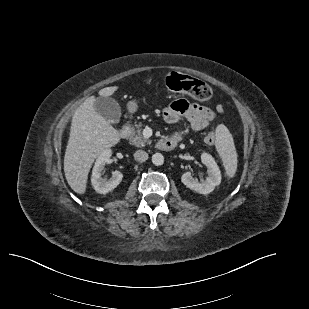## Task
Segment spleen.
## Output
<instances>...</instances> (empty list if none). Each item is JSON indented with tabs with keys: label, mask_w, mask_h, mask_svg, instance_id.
Masks as SVG:
<instances>
[{
	"label": "spleen",
	"mask_w": 309,
	"mask_h": 309,
	"mask_svg": "<svg viewBox=\"0 0 309 309\" xmlns=\"http://www.w3.org/2000/svg\"><path fill=\"white\" fill-rule=\"evenodd\" d=\"M216 149L223 162L228 177H234L237 170V152L233 137L227 127L220 124L216 128Z\"/></svg>",
	"instance_id": "spleen-1"
}]
</instances>
